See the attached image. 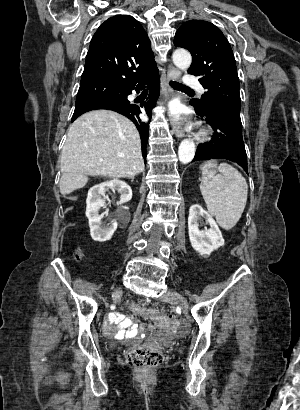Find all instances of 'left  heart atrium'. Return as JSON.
<instances>
[{"instance_id":"39dd6f15","label":"left heart atrium","mask_w":300,"mask_h":410,"mask_svg":"<svg viewBox=\"0 0 300 410\" xmlns=\"http://www.w3.org/2000/svg\"><path fill=\"white\" fill-rule=\"evenodd\" d=\"M170 116L174 121H177L180 118L179 111L176 107L170 109Z\"/></svg>"}]
</instances>
